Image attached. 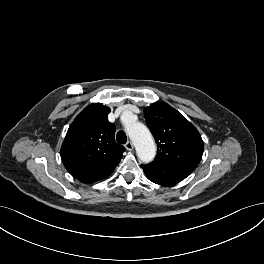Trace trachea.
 <instances>
[{"instance_id": "1", "label": "trachea", "mask_w": 264, "mask_h": 264, "mask_svg": "<svg viewBox=\"0 0 264 264\" xmlns=\"http://www.w3.org/2000/svg\"><path fill=\"white\" fill-rule=\"evenodd\" d=\"M116 140L120 144H125L127 141V136L124 131L120 130L117 132Z\"/></svg>"}]
</instances>
